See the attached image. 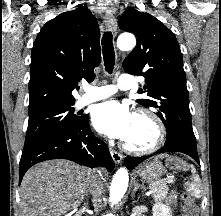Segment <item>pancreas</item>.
<instances>
[{"mask_svg": "<svg viewBox=\"0 0 221 216\" xmlns=\"http://www.w3.org/2000/svg\"><path fill=\"white\" fill-rule=\"evenodd\" d=\"M149 188L152 190L153 197L157 202L164 200L169 190L166 183L164 182L151 185Z\"/></svg>", "mask_w": 221, "mask_h": 216, "instance_id": "obj_1", "label": "pancreas"}]
</instances>
